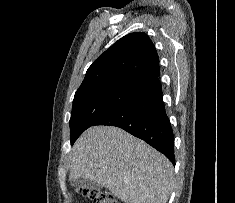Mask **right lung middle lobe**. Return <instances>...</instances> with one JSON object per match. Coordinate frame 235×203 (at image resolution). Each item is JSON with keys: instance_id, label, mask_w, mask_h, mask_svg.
<instances>
[{"instance_id": "dd1d6c3e", "label": "right lung middle lobe", "mask_w": 235, "mask_h": 203, "mask_svg": "<svg viewBox=\"0 0 235 203\" xmlns=\"http://www.w3.org/2000/svg\"><path fill=\"white\" fill-rule=\"evenodd\" d=\"M147 89L141 84L113 81L77 90L70 118L71 144L100 118Z\"/></svg>"}]
</instances>
